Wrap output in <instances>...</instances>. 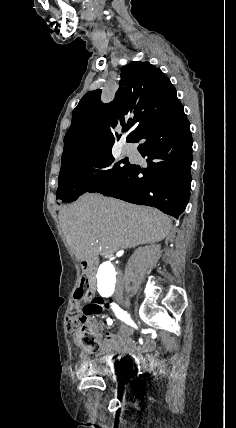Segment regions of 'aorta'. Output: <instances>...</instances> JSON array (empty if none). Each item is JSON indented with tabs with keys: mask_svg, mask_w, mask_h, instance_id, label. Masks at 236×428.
Here are the masks:
<instances>
[{
	"mask_svg": "<svg viewBox=\"0 0 236 428\" xmlns=\"http://www.w3.org/2000/svg\"><path fill=\"white\" fill-rule=\"evenodd\" d=\"M118 282V270L109 261L103 262L97 271V288L101 295L115 292Z\"/></svg>",
	"mask_w": 236,
	"mask_h": 428,
	"instance_id": "1",
	"label": "aorta"
}]
</instances>
